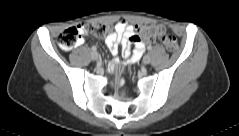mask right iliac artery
I'll list each match as a JSON object with an SVG mask.
<instances>
[{"label": "right iliac artery", "mask_w": 239, "mask_h": 136, "mask_svg": "<svg viewBox=\"0 0 239 136\" xmlns=\"http://www.w3.org/2000/svg\"><path fill=\"white\" fill-rule=\"evenodd\" d=\"M91 49H92L93 51H96V50H97V48H96L95 46H93Z\"/></svg>", "instance_id": "1"}]
</instances>
